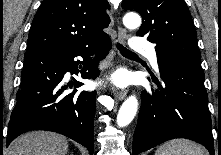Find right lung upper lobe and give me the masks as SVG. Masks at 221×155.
Here are the masks:
<instances>
[{"instance_id": "obj_1", "label": "right lung upper lobe", "mask_w": 221, "mask_h": 155, "mask_svg": "<svg viewBox=\"0 0 221 155\" xmlns=\"http://www.w3.org/2000/svg\"><path fill=\"white\" fill-rule=\"evenodd\" d=\"M107 0H44L31 25L26 52L40 48L80 49L108 36Z\"/></svg>"}]
</instances>
